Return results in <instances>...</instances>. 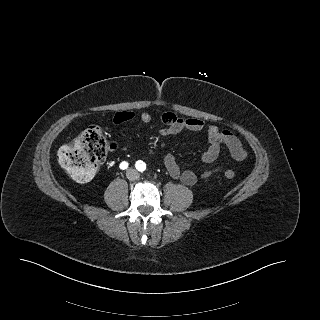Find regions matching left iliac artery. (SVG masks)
Wrapping results in <instances>:
<instances>
[{
    "label": "left iliac artery",
    "instance_id": "44dca946",
    "mask_svg": "<svg viewBox=\"0 0 320 320\" xmlns=\"http://www.w3.org/2000/svg\"><path fill=\"white\" fill-rule=\"evenodd\" d=\"M135 166H136V169L141 172H143L146 169V164L141 160L137 161Z\"/></svg>",
    "mask_w": 320,
    "mask_h": 320
}]
</instances>
